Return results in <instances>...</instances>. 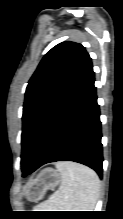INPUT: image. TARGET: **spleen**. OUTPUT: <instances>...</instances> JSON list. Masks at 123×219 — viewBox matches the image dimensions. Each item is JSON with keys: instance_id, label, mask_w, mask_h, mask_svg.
Returning <instances> with one entry per match:
<instances>
[{"instance_id": "spleen-1", "label": "spleen", "mask_w": 123, "mask_h": 219, "mask_svg": "<svg viewBox=\"0 0 123 219\" xmlns=\"http://www.w3.org/2000/svg\"><path fill=\"white\" fill-rule=\"evenodd\" d=\"M61 184L48 200L41 203L43 211H93L100 190L97 174L87 166L69 161L56 164Z\"/></svg>"}]
</instances>
